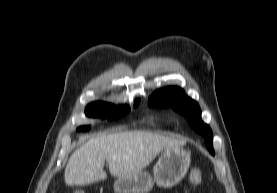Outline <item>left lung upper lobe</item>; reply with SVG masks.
<instances>
[{
    "label": "left lung upper lobe",
    "mask_w": 277,
    "mask_h": 193,
    "mask_svg": "<svg viewBox=\"0 0 277 193\" xmlns=\"http://www.w3.org/2000/svg\"><path fill=\"white\" fill-rule=\"evenodd\" d=\"M148 103L149 106L152 105L165 108L171 106L173 109L186 116L190 126L203 135L206 147L209 149L210 153L215 155L212 147L213 134L210 127L201 120V109L198 103L185 95L181 88L166 87L158 90L151 95Z\"/></svg>",
    "instance_id": "obj_1"
}]
</instances>
